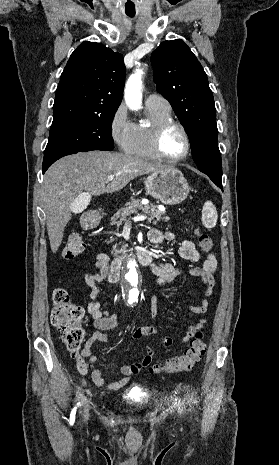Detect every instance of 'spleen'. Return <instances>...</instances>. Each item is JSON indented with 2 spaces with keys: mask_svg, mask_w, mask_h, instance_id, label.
Masks as SVG:
<instances>
[{
  "mask_svg": "<svg viewBox=\"0 0 279 465\" xmlns=\"http://www.w3.org/2000/svg\"><path fill=\"white\" fill-rule=\"evenodd\" d=\"M217 211L212 202H205L202 209V223L206 228H213L217 223Z\"/></svg>",
  "mask_w": 279,
  "mask_h": 465,
  "instance_id": "3e777b00",
  "label": "spleen"
}]
</instances>
